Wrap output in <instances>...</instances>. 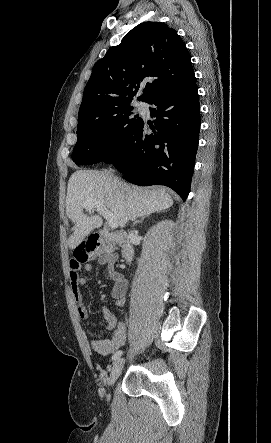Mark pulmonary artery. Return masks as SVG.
<instances>
[{"instance_id": "obj_1", "label": "pulmonary artery", "mask_w": 271, "mask_h": 443, "mask_svg": "<svg viewBox=\"0 0 271 443\" xmlns=\"http://www.w3.org/2000/svg\"><path fill=\"white\" fill-rule=\"evenodd\" d=\"M138 109L146 114L149 113V105L146 102H139Z\"/></svg>"}]
</instances>
